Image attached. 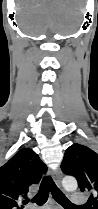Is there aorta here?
I'll return each instance as SVG.
<instances>
[{"label":"aorta","instance_id":"obj_1","mask_svg":"<svg viewBox=\"0 0 98 209\" xmlns=\"http://www.w3.org/2000/svg\"><path fill=\"white\" fill-rule=\"evenodd\" d=\"M62 186L66 191L73 192L77 189L78 184L74 177L67 176L63 178Z\"/></svg>","mask_w":98,"mask_h":209}]
</instances>
